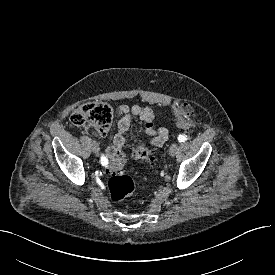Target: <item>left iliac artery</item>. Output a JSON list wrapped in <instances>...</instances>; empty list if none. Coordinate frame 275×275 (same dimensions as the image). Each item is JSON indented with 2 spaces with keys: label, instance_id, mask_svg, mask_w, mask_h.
<instances>
[{
  "label": "left iliac artery",
  "instance_id": "left-iliac-artery-1",
  "mask_svg": "<svg viewBox=\"0 0 275 275\" xmlns=\"http://www.w3.org/2000/svg\"><path fill=\"white\" fill-rule=\"evenodd\" d=\"M187 140V136L186 135H179L178 136V141L179 142H185Z\"/></svg>",
  "mask_w": 275,
  "mask_h": 275
}]
</instances>
